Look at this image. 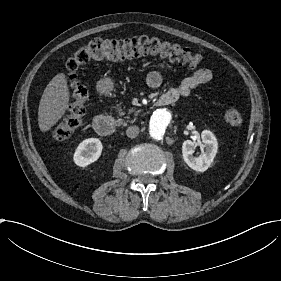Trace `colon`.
I'll return each mask as SVG.
<instances>
[{"label": "colon", "instance_id": "5ec220e1", "mask_svg": "<svg viewBox=\"0 0 281 281\" xmlns=\"http://www.w3.org/2000/svg\"><path fill=\"white\" fill-rule=\"evenodd\" d=\"M157 55L173 61L188 63L193 67L202 64L200 55L189 52L177 44L156 38L136 37L123 40H95L82 46L65 64V76L71 98L67 109L51 127L49 138L53 141L69 138L81 125L86 110L88 93L78 76L80 66L108 58ZM224 121L231 126L243 123L242 114L234 107L223 110Z\"/></svg>", "mask_w": 281, "mask_h": 281}]
</instances>
